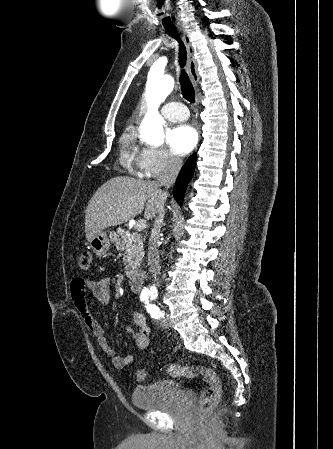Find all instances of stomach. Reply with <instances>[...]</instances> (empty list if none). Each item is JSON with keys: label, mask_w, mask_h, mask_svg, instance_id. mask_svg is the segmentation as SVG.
Here are the masks:
<instances>
[{"label": "stomach", "mask_w": 333, "mask_h": 449, "mask_svg": "<svg viewBox=\"0 0 333 449\" xmlns=\"http://www.w3.org/2000/svg\"><path fill=\"white\" fill-rule=\"evenodd\" d=\"M89 242L92 250L98 256L105 255L110 248V240L107 236V233L104 231L96 234V236L93 237Z\"/></svg>", "instance_id": "obj_1"}]
</instances>
